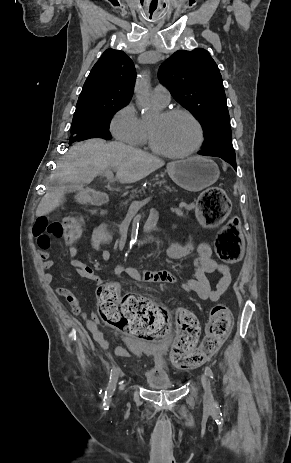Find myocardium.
I'll return each mask as SVG.
<instances>
[{"label":"myocardium","instance_id":"f54148a6","mask_svg":"<svg viewBox=\"0 0 291 463\" xmlns=\"http://www.w3.org/2000/svg\"><path fill=\"white\" fill-rule=\"evenodd\" d=\"M162 115L166 118L174 117L177 115H183L189 118L196 126L198 137H197V141L195 145L192 146L190 149L183 151V152H179V153L169 152L159 147V145L156 143L154 130L149 124L148 143L151 149L155 153L161 156L167 157V158L180 159V158H186L188 156H191L192 154L196 153L202 147L203 142H204V129L199 119L191 111L184 109V108H172V109L165 110L162 113Z\"/></svg>","mask_w":291,"mask_h":463}]
</instances>
